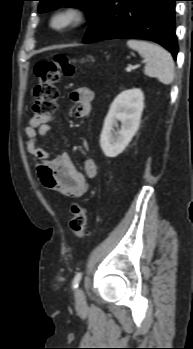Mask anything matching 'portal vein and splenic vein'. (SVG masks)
Here are the masks:
<instances>
[{"label":"portal vein and splenic vein","mask_w":193,"mask_h":349,"mask_svg":"<svg viewBox=\"0 0 193 349\" xmlns=\"http://www.w3.org/2000/svg\"><path fill=\"white\" fill-rule=\"evenodd\" d=\"M134 68H136V66L129 65V66L126 68V71H127V72H131Z\"/></svg>","instance_id":"18ae733b"}]
</instances>
